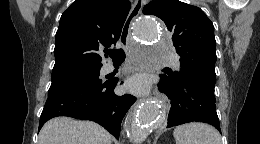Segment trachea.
I'll use <instances>...</instances> for the list:
<instances>
[{"label":"trachea","mask_w":260,"mask_h":144,"mask_svg":"<svg viewBox=\"0 0 260 144\" xmlns=\"http://www.w3.org/2000/svg\"><path fill=\"white\" fill-rule=\"evenodd\" d=\"M107 53L112 58L113 63H122L125 60V52L122 49L109 50Z\"/></svg>","instance_id":"1"}]
</instances>
